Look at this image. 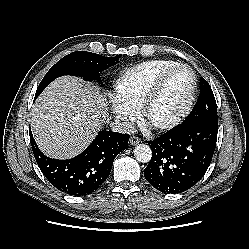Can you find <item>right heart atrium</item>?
I'll return each mask as SVG.
<instances>
[{"label": "right heart atrium", "instance_id": "d8ad5b80", "mask_svg": "<svg viewBox=\"0 0 249 249\" xmlns=\"http://www.w3.org/2000/svg\"><path fill=\"white\" fill-rule=\"evenodd\" d=\"M111 110L117 122L125 129L132 127L137 118L136 111L128 107L117 98H112L110 102Z\"/></svg>", "mask_w": 249, "mask_h": 249}]
</instances>
